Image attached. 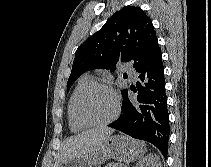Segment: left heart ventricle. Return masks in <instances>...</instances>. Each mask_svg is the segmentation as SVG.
<instances>
[{
  "label": "left heart ventricle",
  "instance_id": "b2bd125f",
  "mask_svg": "<svg viewBox=\"0 0 211 167\" xmlns=\"http://www.w3.org/2000/svg\"><path fill=\"white\" fill-rule=\"evenodd\" d=\"M79 110L88 120L104 121L114 112V100L107 90L99 87L92 88L82 96Z\"/></svg>",
  "mask_w": 211,
  "mask_h": 167
}]
</instances>
